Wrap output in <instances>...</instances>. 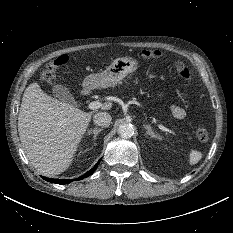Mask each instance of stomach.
<instances>
[{
	"label": "stomach",
	"instance_id": "obj_1",
	"mask_svg": "<svg viewBox=\"0 0 233 233\" xmlns=\"http://www.w3.org/2000/svg\"><path fill=\"white\" fill-rule=\"evenodd\" d=\"M137 68L138 62L134 58H117L105 71L87 76L84 79L83 86L88 89L108 88L120 83L128 74L135 72Z\"/></svg>",
	"mask_w": 233,
	"mask_h": 233
}]
</instances>
